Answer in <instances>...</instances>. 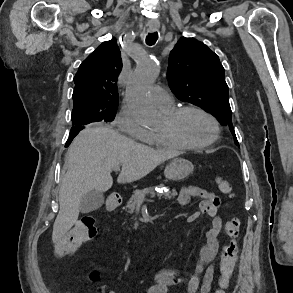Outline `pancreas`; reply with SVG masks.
<instances>
[{
  "label": "pancreas",
  "instance_id": "1",
  "mask_svg": "<svg viewBox=\"0 0 293 293\" xmlns=\"http://www.w3.org/2000/svg\"><path fill=\"white\" fill-rule=\"evenodd\" d=\"M146 195H150L152 198L157 195L159 198L171 199L177 195V192L176 190H172L169 192L156 193L154 187L144 188L142 190H135L126 205L128 213L133 214L136 204L139 201V197Z\"/></svg>",
  "mask_w": 293,
  "mask_h": 293
}]
</instances>
